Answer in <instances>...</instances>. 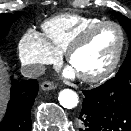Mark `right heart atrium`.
Returning <instances> with one entry per match:
<instances>
[{
  "mask_svg": "<svg viewBox=\"0 0 131 131\" xmlns=\"http://www.w3.org/2000/svg\"><path fill=\"white\" fill-rule=\"evenodd\" d=\"M18 53L24 65L33 66L37 69L56 63L61 55L42 34L34 30H28L21 37Z\"/></svg>",
  "mask_w": 131,
  "mask_h": 131,
  "instance_id": "right-heart-atrium-1",
  "label": "right heart atrium"
}]
</instances>
